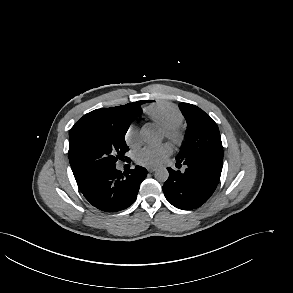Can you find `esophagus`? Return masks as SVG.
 Returning a JSON list of instances; mask_svg holds the SVG:
<instances>
[{
  "instance_id": "34e87169",
  "label": "esophagus",
  "mask_w": 293,
  "mask_h": 293,
  "mask_svg": "<svg viewBox=\"0 0 293 293\" xmlns=\"http://www.w3.org/2000/svg\"><path fill=\"white\" fill-rule=\"evenodd\" d=\"M157 170L156 167H147V171L150 172V173H153Z\"/></svg>"
}]
</instances>
